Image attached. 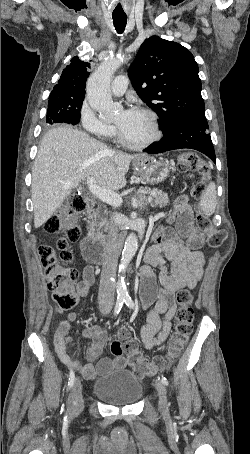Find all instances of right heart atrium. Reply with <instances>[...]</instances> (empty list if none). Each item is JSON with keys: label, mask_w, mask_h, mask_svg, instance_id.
I'll return each instance as SVG.
<instances>
[{"label": "right heart atrium", "mask_w": 250, "mask_h": 454, "mask_svg": "<svg viewBox=\"0 0 250 454\" xmlns=\"http://www.w3.org/2000/svg\"><path fill=\"white\" fill-rule=\"evenodd\" d=\"M80 122L83 130L97 137H107L114 132V127L104 122L85 99L80 108Z\"/></svg>", "instance_id": "right-heart-atrium-1"}]
</instances>
